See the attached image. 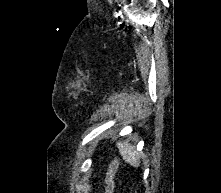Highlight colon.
<instances>
[{"instance_id": "1", "label": "colon", "mask_w": 221, "mask_h": 193, "mask_svg": "<svg viewBox=\"0 0 221 193\" xmlns=\"http://www.w3.org/2000/svg\"><path fill=\"white\" fill-rule=\"evenodd\" d=\"M119 167V161L113 158L108 166L105 183L106 193H114L115 189V176Z\"/></svg>"}]
</instances>
